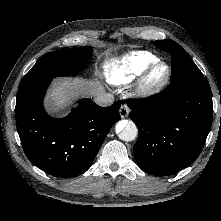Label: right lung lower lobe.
Wrapping results in <instances>:
<instances>
[{"mask_svg":"<svg viewBox=\"0 0 221 221\" xmlns=\"http://www.w3.org/2000/svg\"><path fill=\"white\" fill-rule=\"evenodd\" d=\"M51 79L19 88L16 125L23 150L35 166L57 177L86 172L111 127L121 119L120 102L100 107L83 99L62 119L50 117L43 98Z\"/></svg>","mask_w":221,"mask_h":221,"instance_id":"obj_1","label":"right lung lower lobe"}]
</instances>
